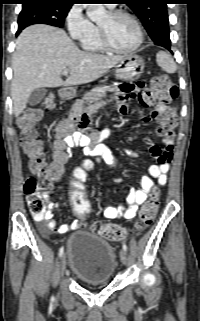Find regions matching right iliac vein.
Segmentation results:
<instances>
[{
	"mask_svg": "<svg viewBox=\"0 0 200 321\" xmlns=\"http://www.w3.org/2000/svg\"><path fill=\"white\" fill-rule=\"evenodd\" d=\"M66 269V257L62 255L59 265V276L62 277Z\"/></svg>",
	"mask_w": 200,
	"mask_h": 321,
	"instance_id": "right-iliac-vein-1",
	"label": "right iliac vein"
}]
</instances>
